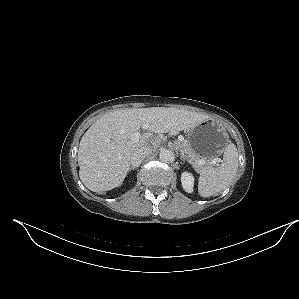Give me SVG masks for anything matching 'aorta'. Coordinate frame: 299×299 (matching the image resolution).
Returning <instances> with one entry per match:
<instances>
[{
	"mask_svg": "<svg viewBox=\"0 0 299 299\" xmlns=\"http://www.w3.org/2000/svg\"><path fill=\"white\" fill-rule=\"evenodd\" d=\"M159 159L164 163H172L175 160V154L171 150L163 149L159 154Z\"/></svg>",
	"mask_w": 299,
	"mask_h": 299,
	"instance_id": "762f6f07",
	"label": "aorta"
}]
</instances>
